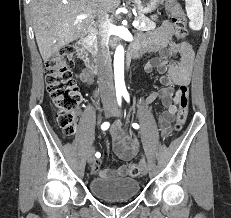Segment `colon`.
Returning <instances> with one entry per match:
<instances>
[{
	"label": "colon",
	"instance_id": "obj_1",
	"mask_svg": "<svg viewBox=\"0 0 231 218\" xmlns=\"http://www.w3.org/2000/svg\"><path fill=\"white\" fill-rule=\"evenodd\" d=\"M166 6L171 13L175 27V35L179 39L187 36V19L176 0H166ZM76 53L71 46L62 47L45 63L47 91L55 107V119L59 128L66 135L74 134L76 130V116L82 102V95L73 78L72 68ZM189 112V88L183 86L179 94L178 113L175 130L180 131L185 124ZM127 174L135 177L139 174V166L129 163Z\"/></svg>",
	"mask_w": 231,
	"mask_h": 218
}]
</instances>
